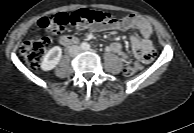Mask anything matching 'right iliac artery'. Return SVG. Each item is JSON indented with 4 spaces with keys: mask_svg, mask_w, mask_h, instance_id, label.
Returning <instances> with one entry per match:
<instances>
[{
    "mask_svg": "<svg viewBox=\"0 0 194 133\" xmlns=\"http://www.w3.org/2000/svg\"><path fill=\"white\" fill-rule=\"evenodd\" d=\"M81 47H82L83 49H87L88 44H87V43H82V44H81Z\"/></svg>",
    "mask_w": 194,
    "mask_h": 133,
    "instance_id": "right-iliac-artery-1",
    "label": "right iliac artery"
}]
</instances>
